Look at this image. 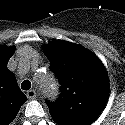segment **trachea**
<instances>
[{"label": "trachea", "instance_id": "1", "mask_svg": "<svg viewBox=\"0 0 125 125\" xmlns=\"http://www.w3.org/2000/svg\"><path fill=\"white\" fill-rule=\"evenodd\" d=\"M21 88L23 90H29L31 88V82L29 80H24L22 83H21Z\"/></svg>", "mask_w": 125, "mask_h": 125}]
</instances>
